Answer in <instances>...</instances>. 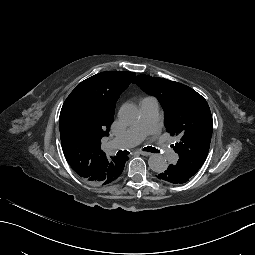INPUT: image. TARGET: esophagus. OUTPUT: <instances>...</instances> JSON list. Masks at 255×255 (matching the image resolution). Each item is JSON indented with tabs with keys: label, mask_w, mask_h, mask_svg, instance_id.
Instances as JSON below:
<instances>
[{
	"label": "esophagus",
	"mask_w": 255,
	"mask_h": 255,
	"mask_svg": "<svg viewBox=\"0 0 255 255\" xmlns=\"http://www.w3.org/2000/svg\"><path fill=\"white\" fill-rule=\"evenodd\" d=\"M140 154L143 155V156H150V155H152V153L144 152V151H140Z\"/></svg>",
	"instance_id": "esophagus-1"
}]
</instances>
